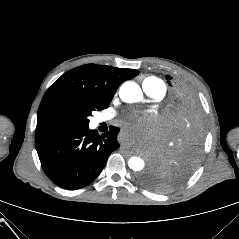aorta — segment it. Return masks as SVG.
Returning a JSON list of instances; mask_svg holds the SVG:
<instances>
[{"mask_svg": "<svg viewBox=\"0 0 239 239\" xmlns=\"http://www.w3.org/2000/svg\"><path fill=\"white\" fill-rule=\"evenodd\" d=\"M119 96L124 102L134 103L142 100L143 93L137 83L127 81L121 86ZM128 165L133 171H141L145 163L140 157L133 156L128 160Z\"/></svg>", "mask_w": 239, "mask_h": 239, "instance_id": "762f6f07", "label": "aorta"}]
</instances>
